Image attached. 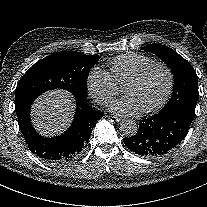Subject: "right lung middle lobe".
Masks as SVG:
<instances>
[{"mask_svg":"<svg viewBox=\"0 0 207 207\" xmlns=\"http://www.w3.org/2000/svg\"><path fill=\"white\" fill-rule=\"evenodd\" d=\"M98 55L58 52L36 62L20 79L15 90V109L33 101L43 92L61 88L76 100H86V83Z\"/></svg>","mask_w":207,"mask_h":207,"instance_id":"right-lung-middle-lobe-1","label":"right lung middle lobe"}]
</instances>
